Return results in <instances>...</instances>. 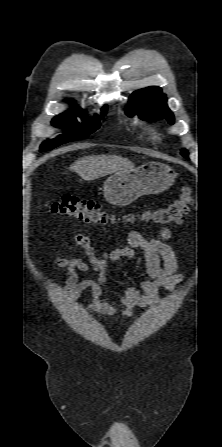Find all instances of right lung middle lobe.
Masks as SVG:
<instances>
[{
    "mask_svg": "<svg viewBox=\"0 0 222 447\" xmlns=\"http://www.w3.org/2000/svg\"><path fill=\"white\" fill-rule=\"evenodd\" d=\"M102 114H106V107L102 108ZM84 117V111L79 108H73L72 110L60 114L53 118L52 125L55 127L65 128L67 131L65 135H61L59 138L48 140L40 146V151H47L53 149L61 144H64L70 140H78L93 133L100 126V117L94 116V123L89 126L86 123L79 124L75 117Z\"/></svg>",
    "mask_w": 222,
    "mask_h": 447,
    "instance_id": "right-lung-middle-lobe-1",
    "label": "right lung middle lobe"
}]
</instances>
